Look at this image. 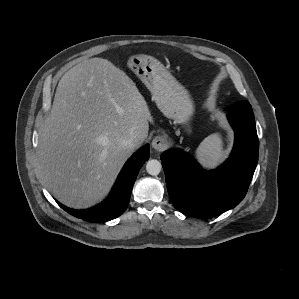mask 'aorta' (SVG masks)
Here are the masks:
<instances>
[{
  "label": "aorta",
  "mask_w": 299,
  "mask_h": 299,
  "mask_svg": "<svg viewBox=\"0 0 299 299\" xmlns=\"http://www.w3.org/2000/svg\"><path fill=\"white\" fill-rule=\"evenodd\" d=\"M162 169L161 163L156 159H151L146 164V171L148 174L156 176Z\"/></svg>",
  "instance_id": "obj_1"
}]
</instances>
